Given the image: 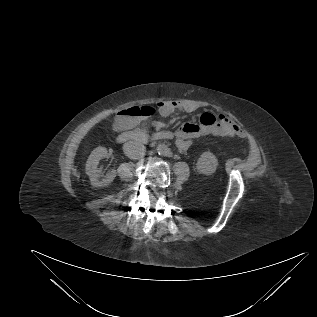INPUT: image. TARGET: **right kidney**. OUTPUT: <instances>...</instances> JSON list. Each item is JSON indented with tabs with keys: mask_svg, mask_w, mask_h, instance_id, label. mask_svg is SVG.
Instances as JSON below:
<instances>
[{
	"mask_svg": "<svg viewBox=\"0 0 317 317\" xmlns=\"http://www.w3.org/2000/svg\"><path fill=\"white\" fill-rule=\"evenodd\" d=\"M107 149L105 147L95 148L88 157L86 162V174L89 176L90 182L94 187H104L109 185L116 177V171L111 170L104 178L100 174L97 166L99 161L106 157Z\"/></svg>",
	"mask_w": 317,
	"mask_h": 317,
	"instance_id": "obj_1",
	"label": "right kidney"
}]
</instances>
